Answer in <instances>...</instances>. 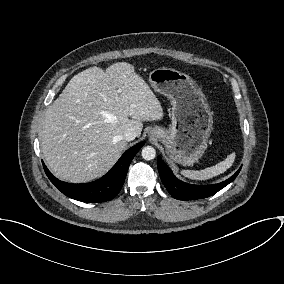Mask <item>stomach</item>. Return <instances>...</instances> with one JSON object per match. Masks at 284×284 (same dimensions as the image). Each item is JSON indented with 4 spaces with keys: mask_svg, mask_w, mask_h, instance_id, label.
Segmentation results:
<instances>
[{
    "mask_svg": "<svg viewBox=\"0 0 284 284\" xmlns=\"http://www.w3.org/2000/svg\"><path fill=\"white\" fill-rule=\"evenodd\" d=\"M149 82L172 104L170 128L155 126L150 136L165 145L170 160L183 166L193 165L206 150L213 129L212 111L206 96L189 75L171 68L153 70Z\"/></svg>",
    "mask_w": 284,
    "mask_h": 284,
    "instance_id": "0dacf381",
    "label": "stomach"
}]
</instances>
